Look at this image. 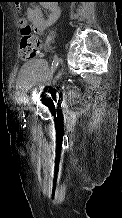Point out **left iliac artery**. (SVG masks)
Instances as JSON below:
<instances>
[{
	"mask_svg": "<svg viewBox=\"0 0 122 218\" xmlns=\"http://www.w3.org/2000/svg\"><path fill=\"white\" fill-rule=\"evenodd\" d=\"M60 62H61L60 58L57 55H54L53 61H52V66H51V74H53L56 71ZM21 114H24V112H21Z\"/></svg>",
	"mask_w": 122,
	"mask_h": 218,
	"instance_id": "1",
	"label": "left iliac artery"
}]
</instances>
